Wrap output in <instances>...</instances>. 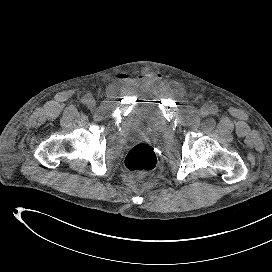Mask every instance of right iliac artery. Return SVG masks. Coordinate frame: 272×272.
Here are the masks:
<instances>
[{
    "label": "right iliac artery",
    "instance_id": "right-iliac-artery-1",
    "mask_svg": "<svg viewBox=\"0 0 272 272\" xmlns=\"http://www.w3.org/2000/svg\"><path fill=\"white\" fill-rule=\"evenodd\" d=\"M81 102H82L83 104H87V103H88V98H87V97H83V98L81 99Z\"/></svg>",
    "mask_w": 272,
    "mask_h": 272
}]
</instances>
